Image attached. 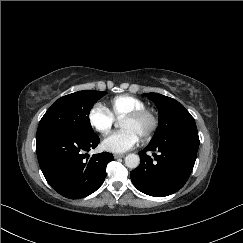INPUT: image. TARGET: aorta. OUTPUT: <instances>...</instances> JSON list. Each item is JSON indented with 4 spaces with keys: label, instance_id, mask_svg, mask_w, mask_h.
<instances>
[{
    "label": "aorta",
    "instance_id": "obj_1",
    "mask_svg": "<svg viewBox=\"0 0 243 243\" xmlns=\"http://www.w3.org/2000/svg\"><path fill=\"white\" fill-rule=\"evenodd\" d=\"M140 164V157L137 154H128L125 157V165L131 169H135Z\"/></svg>",
    "mask_w": 243,
    "mask_h": 243
}]
</instances>
